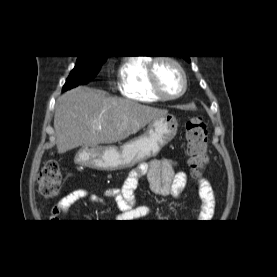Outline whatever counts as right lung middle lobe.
Listing matches in <instances>:
<instances>
[{"mask_svg":"<svg viewBox=\"0 0 277 277\" xmlns=\"http://www.w3.org/2000/svg\"><path fill=\"white\" fill-rule=\"evenodd\" d=\"M108 56H78L74 69L66 80L62 91H67L79 84H86L92 80L99 72L102 64Z\"/></svg>","mask_w":277,"mask_h":277,"instance_id":"1","label":"right lung middle lobe"}]
</instances>
